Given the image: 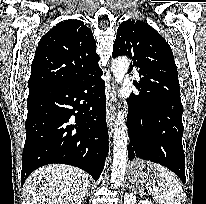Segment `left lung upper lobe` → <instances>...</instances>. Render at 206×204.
Segmentation results:
<instances>
[{
  "mask_svg": "<svg viewBox=\"0 0 206 204\" xmlns=\"http://www.w3.org/2000/svg\"><path fill=\"white\" fill-rule=\"evenodd\" d=\"M126 55L139 70L146 69V90L157 91L174 85L180 91L172 49L166 40L147 23L129 19L120 24L112 57Z\"/></svg>",
  "mask_w": 206,
  "mask_h": 204,
  "instance_id": "5c2ea615",
  "label": "left lung upper lobe"
}]
</instances>
